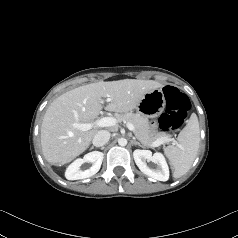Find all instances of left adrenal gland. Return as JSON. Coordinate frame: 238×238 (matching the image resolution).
<instances>
[{
	"label": "left adrenal gland",
	"instance_id": "a2214340",
	"mask_svg": "<svg viewBox=\"0 0 238 238\" xmlns=\"http://www.w3.org/2000/svg\"><path fill=\"white\" fill-rule=\"evenodd\" d=\"M132 143L134 144V145H138V146H140V147H142V148H144V146L143 145H141L138 141H136L135 140V138H133V141H132Z\"/></svg>",
	"mask_w": 238,
	"mask_h": 238
}]
</instances>
